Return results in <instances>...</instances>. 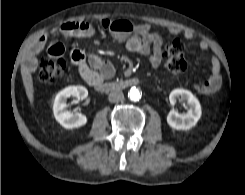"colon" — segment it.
Masks as SVG:
<instances>
[{"label": "colon", "instance_id": "1", "mask_svg": "<svg viewBox=\"0 0 245 195\" xmlns=\"http://www.w3.org/2000/svg\"><path fill=\"white\" fill-rule=\"evenodd\" d=\"M165 66L175 76L183 75L187 69L184 58V44L176 39L164 51ZM67 69V64L61 56L44 57L40 61L39 77L44 82L61 79Z\"/></svg>", "mask_w": 245, "mask_h": 195}]
</instances>
